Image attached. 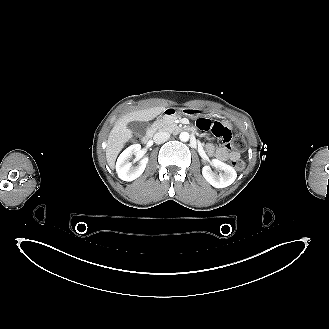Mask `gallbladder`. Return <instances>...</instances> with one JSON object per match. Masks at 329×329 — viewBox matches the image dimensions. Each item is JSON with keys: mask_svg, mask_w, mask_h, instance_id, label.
Masks as SVG:
<instances>
[{"mask_svg": "<svg viewBox=\"0 0 329 329\" xmlns=\"http://www.w3.org/2000/svg\"><path fill=\"white\" fill-rule=\"evenodd\" d=\"M148 127H149L148 122H143V121H131L127 124V128L131 130L132 133L139 136L145 135Z\"/></svg>", "mask_w": 329, "mask_h": 329, "instance_id": "bac80fb5", "label": "gallbladder"}]
</instances>
